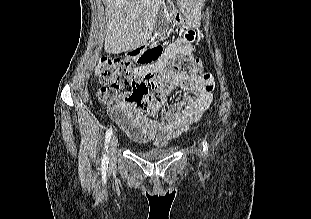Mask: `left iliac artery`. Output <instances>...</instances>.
<instances>
[{
	"mask_svg": "<svg viewBox=\"0 0 311 219\" xmlns=\"http://www.w3.org/2000/svg\"><path fill=\"white\" fill-rule=\"evenodd\" d=\"M203 151H204V153H205V155H207L208 154V143H207V141L204 139V141H203Z\"/></svg>",
	"mask_w": 311,
	"mask_h": 219,
	"instance_id": "44dca946",
	"label": "left iliac artery"
}]
</instances>
